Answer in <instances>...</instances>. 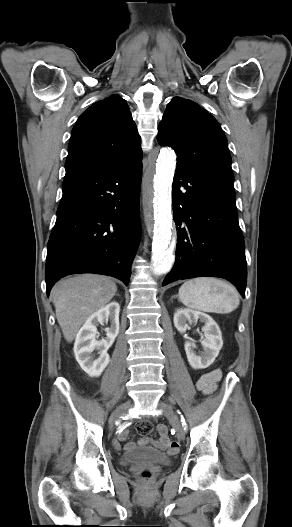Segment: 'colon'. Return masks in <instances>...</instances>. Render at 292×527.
I'll return each instance as SVG.
<instances>
[{
  "instance_id": "colon-1",
  "label": "colon",
  "mask_w": 292,
  "mask_h": 527,
  "mask_svg": "<svg viewBox=\"0 0 292 527\" xmlns=\"http://www.w3.org/2000/svg\"><path fill=\"white\" fill-rule=\"evenodd\" d=\"M159 428V426H158ZM153 430V424L150 421H142L137 425V431L142 435H147ZM141 478L143 480H149L151 474L148 470H145L141 473Z\"/></svg>"
}]
</instances>
